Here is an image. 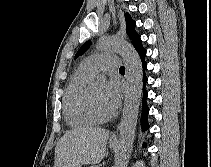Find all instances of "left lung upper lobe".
I'll return each mask as SVG.
<instances>
[{
    "mask_svg": "<svg viewBox=\"0 0 211 167\" xmlns=\"http://www.w3.org/2000/svg\"><path fill=\"white\" fill-rule=\"evenodd\" d=\"M125 20H126V30H127V34L129 35L132 44L134 45L136 50L139 49H144L141 43V39H140V35L137 34V32L135 31V27H136V23L134 20H132V18L130 17L129 13L125 14ZM91 42L87 41L86 43H84L81 48L78 50V52L76 53L75 57H78L79 55L83 54L84 52H86L89 47H90ZM145 50V49H144Z\"/></svg>",
    "mask_w": 211,
    "mask_h": 167,
    "instance_id": "5c2ea615",
    "label": "left lung upper lobe"
}]
</instances>
